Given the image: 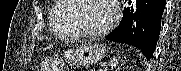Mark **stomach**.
Instances as JSON below:
<instances>
[{"instance_id": "stomach-1", "label": "stomach", "mask_w": 181, "mask_h": 71, "mask_svg": "<svg viewBox=\"0 0 181 71\" xmlns=\"http://www.w3.org/2000/svg\"><path fill=\"white\" fill-rule=\"evenodd\" d=\"M105 53L106 48L103 45L86 43L66 51L63 58L71 66L88 65L99 62L105 56ZM42 69H46L43 71H55L59 68L57 66H43Z\"/></svg>"}]
</instances>
